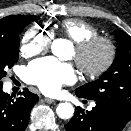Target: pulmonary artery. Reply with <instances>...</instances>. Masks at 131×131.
I'll return each mask as SVG.
<instances>
[{
	"label": "pulmonary artery",
	"mask_w": 131,
	"mask_h": 131,
	"mask_svg": "<svg viewBox=\"0 0 131 131\" xmlns=\"http://www.w3.org/2000/svg\"><path fill=\"white\" fill-rule=\"evenodd\" d=\"M94 106H95V103H92V104H91V107H94Z\"/></svg>",
	"instance_id": "1"
}]
</instances>
